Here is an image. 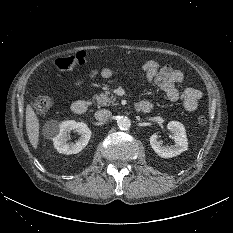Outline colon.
<instances>
[{
    "instance_id": "obj_1",
    "label": "colon",
    "mask_w": 233,
    "mask_h": 233,
    "mask_svg": "<svg viewBox=\"0 0 233 233\" xmlns=\"http://www.w3.org/2000/svg\"><path fill=\"white\" fill-rule=\"evenodd\" d=\"M87 61L85 52H78L75 55L61 57L55 60L54 64L57 69L65 71L70 70L77 65H84ZM33 109L38 114H46L53 106V100L49 96H40L32 102ZM197 122L200 125H206L208 120L205 116H199Z\"/></svg>"
}]
</instances>
